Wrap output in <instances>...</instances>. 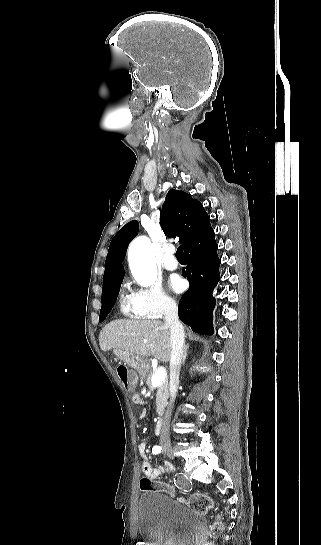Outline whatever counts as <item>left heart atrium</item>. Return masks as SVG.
I'll list each match as a JSON object with an SVG mask.
<instances>
[{
	"instance_id": "1",
	"label": "left heart atrium",
	"mask_w": 321,
	"mask_h": 545,
	"mask_svg": "<svg viewBox=\"0 0 321 545\" xmlns=\"http://www.w3.org/2000/svg\"><path fill=\"white\" fill-rule=\"evenodd\" d=\"M168 286L172 291L178 293L184 289V282L179 276L172 275L168 279Z\"/></svg>"
}]
</instances>
